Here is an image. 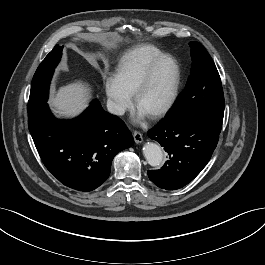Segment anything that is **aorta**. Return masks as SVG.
I'll return each mask as SVG.
<instances>
[{"label":"aorta","mask_w":265,"mask_h":265,"mask_svg":"<svg viewBox=\"0 0 265 265\" xmlns=\"http://www.w3.org/2000/svg\"><path fill=\"white\" fill-rule=\"evenodd\" d=\"M143 154L151 166L157 167L161 165L163 152L159 145L152 142L146 143L143 147Z\"/></svg>","instance_id":"1"}]
</instances>
